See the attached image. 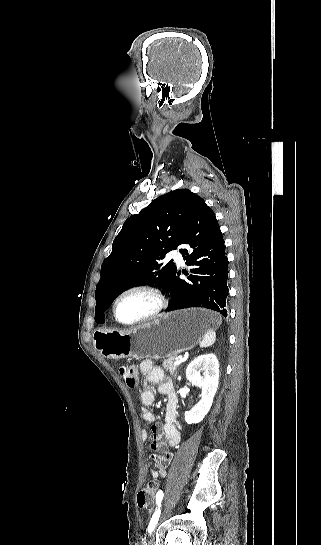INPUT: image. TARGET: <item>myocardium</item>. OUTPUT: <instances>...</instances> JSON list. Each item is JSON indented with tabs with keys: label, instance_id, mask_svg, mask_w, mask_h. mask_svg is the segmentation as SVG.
I'll return each mask as SVG.
<instances>
[{
	"label": "myocardium",
	"instance_id": "myocardium-1",
	"mask_svg": "<svg viewBox=\"0 0 321 545\" xmlns=\"http://www.w3.org/2000/svg\"><path fill=\"white\" fill-rule=\"evenodd\" d=\"M133 292H146L151 294L156 300V306L154 310L144 318H141L134 322H123L117 314V305L122 297ZM169 299L167 294L157 286L150 284H138L122 290L115 298L113 302V315L117 323L125 327H138L146 323H150L158 319L169 307Z\"/></svg>",
	"mask_w": 321,
	"mask_h": 545
}]
</instances>
